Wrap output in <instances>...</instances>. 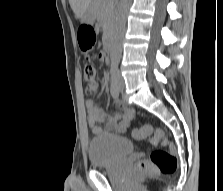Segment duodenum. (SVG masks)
<instances>
[{
  "label": "duodenum",
  "mask_w": 223,
  "mask_h": 191,
  "mask_svg": "<svg viewBox=\"0 0 223 191\" xmlns=\"http://www.w3.org/2000/svg\"><path fill=\"white\" fill-rule=\"evenodd\" d=\"M110 53H111V38L109 34H107L104 39V54L109 55Z\"/></svg>",
  "instance_id": "1"
}]
</instances>
